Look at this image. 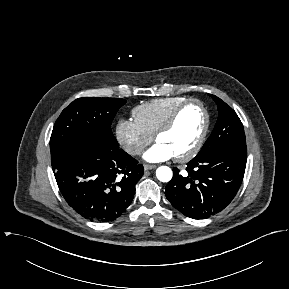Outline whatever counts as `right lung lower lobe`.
<instances>
[{
  "label": "right lung lower lobe",
  "instance_id": "right-lung-lower-lobe-1",
  "mask_svg": "<svg viewBox=\"0 0 289 289\" xmlns=\"http://www.w3.org/2000/svg\"><path fill=\"white\" fill-rule=\"evenodd\" d=\"M52 168L69 206L97 222L115 220L128 208L144 172L125 151L102 143L84 145Z\"/></svg>",
  "mask_w": 289,
  "mask_h": 289
}]
</instances>
